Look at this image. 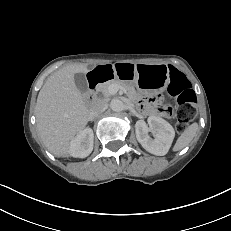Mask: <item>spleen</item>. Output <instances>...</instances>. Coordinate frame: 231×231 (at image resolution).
<instances>
[{"instance_id":"obj_1","label":"spleen","mask_w":231,"mask_h":231,"mask_svg":"<svg viewBox=\"0 0 231 231\" xmlns=\"http://www.w3.org/2000/svg\"><path fill=\"white\" fill-rule=\"evenodd\" d=\"M198 124L193 123L191 124L182 134L181 136L177 139L173 151H180L194 139V137L197 134L198 131Z\"/></svg>"}]
</instances>
